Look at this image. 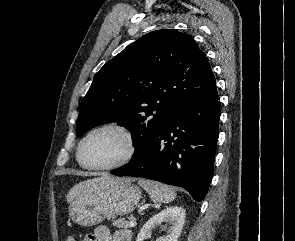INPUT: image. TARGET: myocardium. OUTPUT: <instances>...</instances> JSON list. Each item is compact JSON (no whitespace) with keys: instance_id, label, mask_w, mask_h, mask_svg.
<instances>
[{"instance_id":"myocardium-1","label":"myocardium","mask_w":295,"mask_h":241,"mask_svg":"<svg viewBox=\"0 0 295 241\" xmlns=\"http://www.w3.org/2000/svg\"><path fill=\"white\" fill-rule=\"evenodd\" d=\"M106 129H112V130L118 131L119 133H121L124 136V138L127 142L126 154L119 161L109 164V165L92 166V165L85 164L82 160V150H83L85 142L94 133L101 131V130H106ZM136 151H137V142H136L133 132L128 127H126L122 124H118V123H105V124H102V125H99V126L93 128L82 138V140L80 141L78 148H77L76 157H77V161L80 164V166H82L85 169L94 170V171H108V170H113V169L122 167V166L126 165L127 163H129L133 159V157L135 156Z\"/></svg>"}]
</instances>
